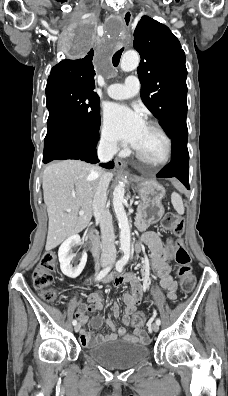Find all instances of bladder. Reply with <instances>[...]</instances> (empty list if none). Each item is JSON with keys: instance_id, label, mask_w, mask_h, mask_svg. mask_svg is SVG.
Listing matches in <instances>:
<instances>
[{"instance_id": "1", "label": "bladder", "mask_w": 228, "mask_h": 396, "mask_svg": "<svg viewBox=\"0 0 228 396\" xmlns=\"http://www.w3.org/2000/svg\"><path fill=\"white\" fill-rule=\"evenodd\" d=\"M85 353L106 368L126 369L144 362L149 356V348L139 341L115 339L89 347Z\"/></svg>"}]
</instances>
